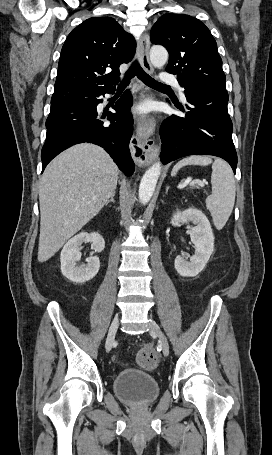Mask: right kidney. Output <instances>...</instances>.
<instances>
[{
  "label": "right kidney",
  "instance_id": "ca27d5eb",
  "mask_svg": "<svg viewBox=\"0 0 272 455\" xmlns=\"http://www.w3.org/2000/svg\"><path fill=\"white\" fill-rule=\"evenodd\" d=\"M83 242H91L92 249L97 252H101L105 248V241L98 233L81 232L65 244L60 255L61 272L74 283H84L91 280L100 268L98 256H90L86 259V265L76 266V262L81 259L80 250Z\"/></svg>",
  "mask_w": 272,
  "mask_h": 455
}]
</instances>
